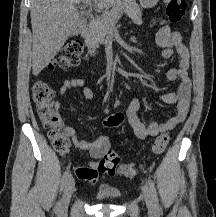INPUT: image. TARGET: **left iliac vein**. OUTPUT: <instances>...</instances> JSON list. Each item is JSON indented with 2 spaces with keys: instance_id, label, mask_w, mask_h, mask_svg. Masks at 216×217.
Masks as SVG:
<instances>
[{
  "instance_id": "obj_1",
  "label": "left iliac vein",
  "mask_w": 216,
  "mask_h": 217,
  "mask_svg": "<svg viewBox=\"0 0 216 217\" xmlns=\"http://www.w3.org/2000/svg\"><path fill=\"white\" fill-rule=\"evenodd\" d=\"M143 195L145 199V203L150 211L153 210V201L150 195V192L146 186L143 187Z\"/></svg>"
}]
</instances>
